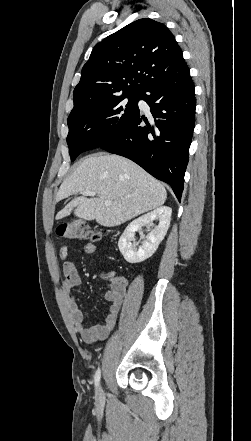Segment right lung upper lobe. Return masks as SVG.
I'll list each match as a JSON object with an SVG mask.
<instances>
[{
    "label": "right lung upper lobe",
    "instance_id": "1",
    "mask_svg": "<svg viewBox=\"0 0 251 441\" xmlns=\"http://www.w3.org/2000/svg\"><path fill=\"white\" fill-rule=\"evenodd\" d=\"M184 66L182 51L164 24L149 18L134 21L93 48L74 89L72 111L87 101L140 95Z\"/></svg>",
    "mask_w": 251,
    "mask_h": 441
}]
</instances>
